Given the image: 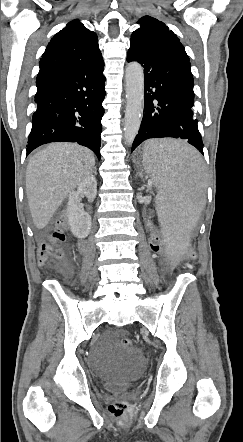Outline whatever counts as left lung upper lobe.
Masks as SVG:
<instances>
[{"instance_id":"1","label":"left lung upper lobe","mask_w":243,"mask_h":442,"mask_svg":"<svg viewBox=\"0 0 243 442\" xmlns=\"http://www.w3.org/2000/svg\"><path fill=\"white\" fill-rule=\"evenodd\" d=\"M140 28L131 35L132 43L141 48L189 62V57L177 36L159 20L145 16L138 21Z\"/></svg>"}]
</instances>
